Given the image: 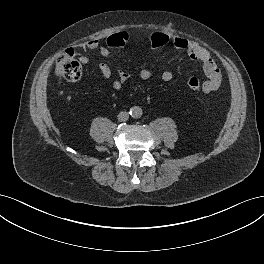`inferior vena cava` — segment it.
Returning a JSON list of instances; mask_svg holds the SVG:
<instances>
[{"label": "inferior vena cava", "mask_w": 264, "mask_h": 264, "mask_svg": "<svg viewBox=\"0 0 264 264\" xmlns=\"http://www.w3.org/2000/svg\"><path fill=\"white\" fill-rule=\"evenodd\" d=\"M129 118V114L126 111H122L118 114L117 119L118 121H127Z\"/></svg>", "instance_id": "602c4592"}]
</instances>
